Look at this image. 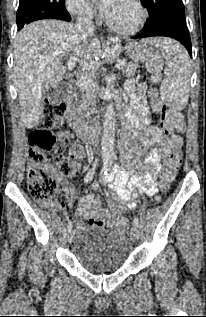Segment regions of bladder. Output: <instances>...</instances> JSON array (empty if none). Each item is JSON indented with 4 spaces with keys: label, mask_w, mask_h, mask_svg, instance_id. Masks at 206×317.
Wrapping results in <instances>:
<instances>
[{
    "label": "bladder",
    "mask_w": 206,
    "mask_h": 317,
    "mask_svg": "<svg viewBox=\"0 0 206 317\" xmlns=\"http://www.w3.org/2000/svg\"><path fill=\"white\" fill-rule=\"evenodd\" d=\"M132 253L129 238L118 231L86 230L75 241L73 254L80 265L94 272L121 268Z\"/></svg>",
    "instance_id": "bladder-1"
}]
</instances>
